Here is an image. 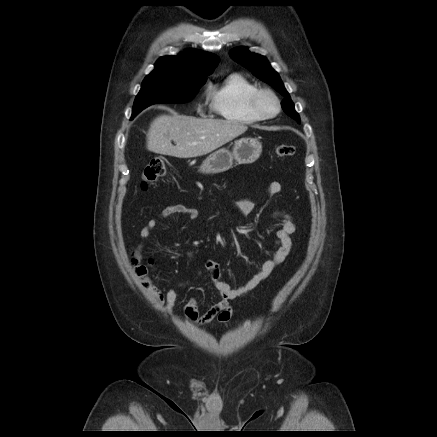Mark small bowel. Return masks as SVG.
I'll return each mask as SVG.
<instances>
[{"instance_id":"c3829d8e","label":"small bowel","mask_w":437,"mask_h":437,"mask_svg":"<svg viewBox=\"0 0 437 437\" xmlns=\"http://www.w3.org/2000/svg\"><path fill=\"white\" fill-rule=\"evenodd\" d=\"M280 192L281 185L279 182H271L266 187V193L270 196H275ZM233 206L242 215L248 216L253 212L255 208V203L250 198H242L235 201L233 203ZM175 214H181L190 220H196L198 218V211L196 209L183 204H174L163 208L141 229V243L136 250L137 259H141V252L144 247V241L155 231L159 222ZM274 216L275 218L280 220L281 224L280 228L276 231V251L271 258L263 263L260 270L256 272L248 282L241 286L233 288L222 280L220 265L218 262L208 260L205 263V268L209 272L210 282L213 287L218 291L219 299L203 313H200L196 300H189L184 305L183 311L185 316L190 321L198 325L207 324L215 319L220 323H225L229 321L233 314L231 301L247 295L248 293L253 291L271 274V272L278 265H280L286 259L292 247V240L290 236L295 232L296 226L292 217L284 211H278L275 213ZM185 284H187V282L180 283V285ZM150 292L160 303L164 304L165 309L168 313L173 312L177 301V293L175 290L170 289L167 292H164L161 289L152 286Z\"/></svg>"}]
</instances>
